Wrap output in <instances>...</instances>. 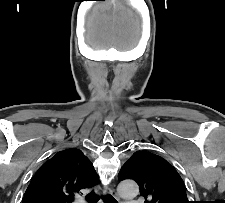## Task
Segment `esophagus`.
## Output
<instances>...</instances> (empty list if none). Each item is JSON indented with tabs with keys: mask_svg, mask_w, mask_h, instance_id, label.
Segmentation results:
<instances>
[{
	"mask_svg": "<svg viewBox=\"0 0 225 203\" xmlns=\"http://www.w3.org/2000/svg\"><path fill=\"white\" fill-rule=\"evenodd\" d=\"M104 194H105V195H112V196H114L115 199H116V202H117V203H120L119 198H118V196L116 195L114 185L106 186V187L104 188Z\"/></svg>",
	"mask_w": 225,
	"mask_h": 203,
	"instance_id": "34e87169",
	"label": "esophagus"
}]
</instances>
